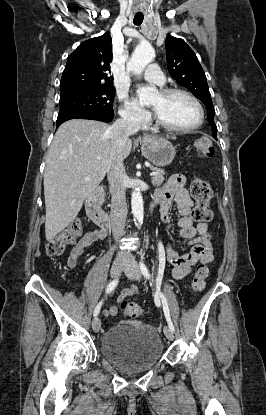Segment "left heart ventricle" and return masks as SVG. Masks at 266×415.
Returning a JSON list of instances; mask_svg holds the SVG:
<instances>
[{
  "label": "left heart ventricle",
  "instance_id": "obj_1",
  "mask_svg": "<svg viewBox=\"0 0 266 415\" xmlns=\"http://www.w3.org/2000/svg\"><path fill=\"white\" fill-rule=\"evenodd\" d=\"M154 111L166 123L176 127H189L197 123L199 112L195 104L184 95L164 97L156 94L151 102Z\"/></svg>",
  "mask_w": 266,
  "mask_h": 415
}]
</instances>
